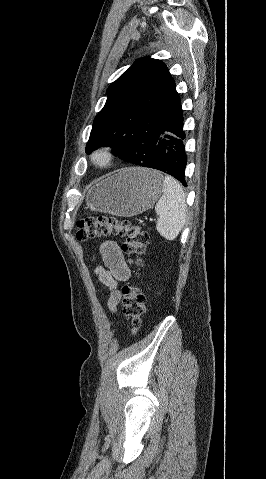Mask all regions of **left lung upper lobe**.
I'll return each mask as SVG.
<instances>
[{
  "instance_id": "1",
  "label": "left lung upper lobe",
  "mask_w": 266,
  "mask_h": 479,
  "mask_svg": "<svg viewBox=\"0 0 266 479\" xmlns=\"http://www.w3.org/2000/svg\"><path fill=\"white\" fill-rule=\"evenodd\" d=\"M177 95L174 79L162 61L137 60L109 86L86 153L110 146L115 155L133 164L151 162L164 118Z\"/></svg>"
}]
</instances>
